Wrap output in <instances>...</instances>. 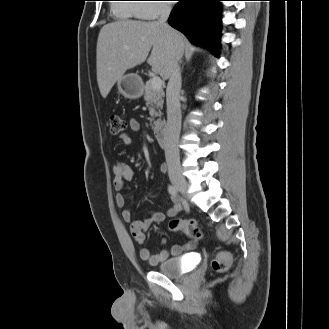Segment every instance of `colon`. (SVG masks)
<instances>
[{
    "label": "colon",
    "mask_w": 329,
    "mask_h": 329,
    "mask_svg": "<svg viewBox=\"0 0 329 329\" xmlns=\"http://www.w3.org/2000/svg\"><path fill=\"white\" fill-rule=\"evenodd\" d=\"M110 133L113 135L122 134L126 129L125 120L119 115L110 116ZM168 227L174 232H183L189 238L200 240L203 236L202 230L195 220H170ZM212 268L216 272L224 273L229 270L231 266V254L229 252H219L212 260Z\"/></svg>",
    "instance_id": "colon-1"
}]
</instances>
